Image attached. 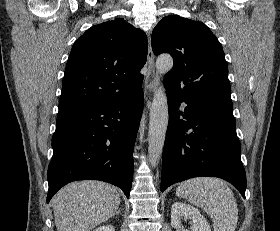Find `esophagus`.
<instances>
[{
    "mask_svg": "<svg viewBox=\"0 0 280 231\" xmlns=\"http://www.w3.org/2000/svg\"><path fill=\"white\" fill-rule=\"evenodd\" d=\"M147 66H148V69L151 71L152 79L146 86L145 92H153L158 87L160 80H159V75H158V73L155 69V65H154V55H153V51H152V47H151L150 36L148 38ZM147 106L149 107V104H147Z\"/></svg>",
    "mask_w": 280,
    "mask_h": 231,
    "instance_id": "1",
    "label": "esophagus"
}]
</instances>
